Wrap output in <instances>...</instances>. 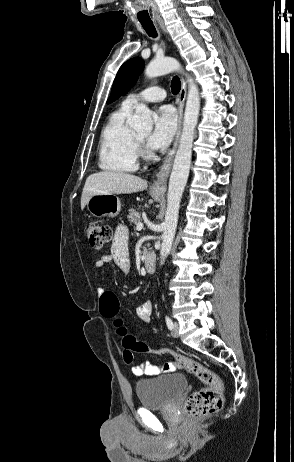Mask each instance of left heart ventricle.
Listing matches in <instances>:
<instances>
[{"mask_svg": "<svg viewBox=\"0 0 294 462\" xmlns=\"http://www.w3.org/2000/svg\"><path fill=\"white\" fill-rule=\"evenodd\" d=\"M138 137L141 138V139H145V138H146V134H138Z\"/></svg>", "mask_w": 294, "mask_h": 462, "instance_id": "1", "label": "left heart ventricle"}]
</instances>
